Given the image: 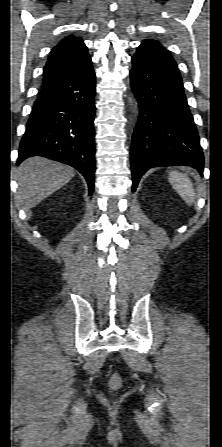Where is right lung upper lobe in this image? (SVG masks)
<instances>
[{
  "instance_id": "obj_1",
  "label": "right lung upper lobe",
  "mask_w": 222,
  "mask_h": 447,
  "mask_svg": "<svg viewBox=\"0 0 222 447\" xmlns=\"http://www.w3.org/2000/svg\"><path fill=\"white\" fill-rule=\"evenodd\" d=\"M89 58L81 38L69 36L63 39L49 54L41 93L71 77Z\"/></svg>"
}]
</instances>
